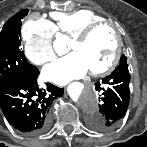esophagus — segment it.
Segmentation results:
<instances>
[{"instance_id": "obj_1", "label": "esophagus", "mask_w": 147, "mask_h": 147, "mask_svg": "<svg viewBox=\"0 0 147 147\" xmlns=\"http://www.w3.org/2000/svg\"><path fill=\"white\" fill-rule=\"evenodd\" d=\"M88 86H92V83H87Z\"/></svg>"}]
</instances>
